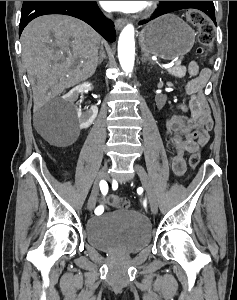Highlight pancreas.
Returning <instances> with one entry per match:
<instances>
[{"mask_svg":"<svg viewBox=\"0 0 237 300\" xmlns=\"http://www.w3.org/2000/svg\"><path fill=\"white\" fill-rule=\"evenodd\" d=\"M167 71L170 73V75H174V77H184L186 73L185 67H181V65L177 67H170V69H167Z\"/></svg>","mask_w":237,"mask_h":300,"instance_id":"pancreas-1","label":"pancreas"}]
</instances>
